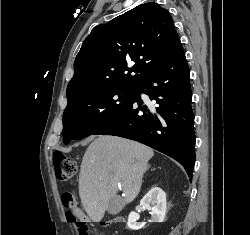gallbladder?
Segmentation results:
<instances>
[{"label":"gallbladder","instance_id":"gallbladder-1","mask_svg":"<svg viewBox=\"0 0 250 235\" xmlns=\"http://www.w3.org/2000/svg\"><path fill=\"white\" fill-rule=\"evenodd\" d=\"M124 207V204L120 198L113 197L108 204L107 211L109 214L116 215L118 214L122 208Z\"/></svg>","mask_w":250,"mask_h":235}]
</instances>
